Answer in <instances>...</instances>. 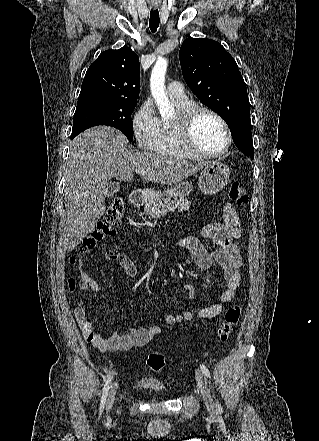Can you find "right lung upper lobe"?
I'll use <instances>...</instances> for the list:
<instances>
[{"instance_id":"1","label":"right lung upper lobe","mask_w":319,"mask_h":441,"mask_svg":"<svg viewBox=\"0 0 319 441\" xmlns=\"http://www.w3.org/2000/svg\"><path fill=\"white\" fill-rule=\"evenodd\" d=\"M140 89L139 57L129 48L107 50L90 65L79 100L103 99L136 102Z\"/></svg>"}]
</instances>
